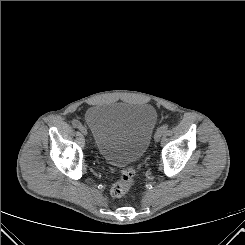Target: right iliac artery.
Here are the masks:
<instances>
[{
  "label": "right iliac artery",
  "mask_w": 245,
  "mask_h": 245,
  "mask_svg": "<svg viewBox=\"0 0 245 245\" xmlns=\"http://www.w3.org/2000/svg\"><path fill=\"white\" fill-rule=\"evenodd\" d=\"M72 125L74 128H79L81 126V123L77 120H73L72 121Z\"/></svg>",
  "instance_id": "1"
}]
</instances>
